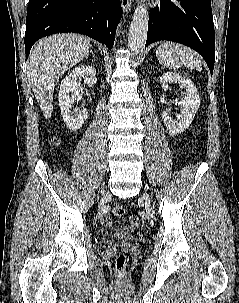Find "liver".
Here are the masks:
<instances>
[{
	"label": "liver",
	"instance_id": "obj_1",
	"mask_svg": "<svg viewBox=\"0 0 239 303\" xmlns=\"http://www.w3.org/2000/svg\"><path fill=\"white\" fill-rule=\"evenodd\" d=\"M90 47L88 37L72 33L52 35L33 45L27 64L29 82L45 118L52 115L60 76L86 58Z\"/></svg>",
	"mask_w": 239,
	"mask_h": 303
}]
</instances>
